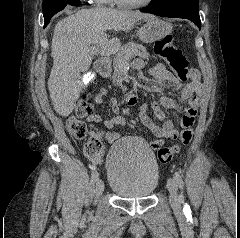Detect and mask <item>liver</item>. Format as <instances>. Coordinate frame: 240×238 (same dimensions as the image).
I'll return each instance as SVG.
<instances>
[{
	"mask_svg": "<svg viewBox=\"0 0 240 238\" xmlns=\"http://www.w3.org/2000/svg\"><path fill=\"white\" fill-rule=\"evenodd\" d=\"M151 14L109 8L82 9L59 21L54 29L51 56L53 67L48 88L55 111L69 116L82 90L81 73L92 62L90 48L101 51L120 49V40L107 31H129L140 20H153Z\"/></svg>",
	"mask_w": 240,
	"mask_h": 238,
	"instance_id": "1",
	"label": "liver"
}]
</instances>
